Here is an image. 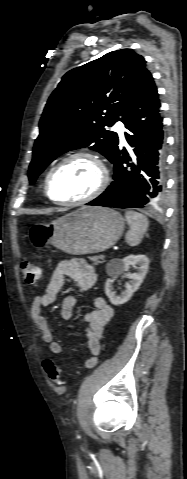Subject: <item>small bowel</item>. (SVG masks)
<instances>
[{"label":"small bowel","instance_id":"obj_1","mask_svg":"<svg viewBox=\"0 0 187 479\" xmlns=\"http://www.w3.org/2000/svg\"><path fill=\"white\" fill-rule=\"evenodd\" d=\"M67 278L74 281L79 290L88 291L95 284L96 273L89 263L80 258H69L59 261L44 291L34 298L30 307L31 318L40 331L42 340L53 354L61 353L62 346L54 339L47 319L42 313V308L56 301ZM76 301L75 295H68L63 301L60 314L64 320H71ZM94 307L93 311L84 316V330L92 355L85 363L86 368H93L97 364L102 333L114 315L113 308L101 296L95 297Z\"/></svg>","mask_w":187,"mask_h":479}]
</instances>
